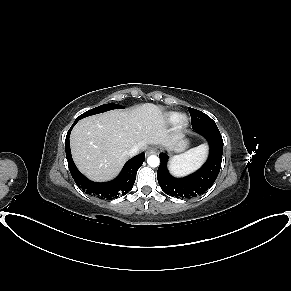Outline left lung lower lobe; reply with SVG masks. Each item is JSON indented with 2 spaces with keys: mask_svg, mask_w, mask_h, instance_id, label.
I'll use <instances>...</instances> for the list:
<instances>
[{
  "mask_svg": "<svg viewBox=\"0 0 291 291\" xmlns=\"http://www.w3.org/2000/svg\"><path fill=\"white\" fill-rule=\"evenodd\" d=\"M202 117L205 120L204 124L192 123V128L206 138L210 149L206 163L198 171L184 178H175L167 169L169 159L167 153L159 154L161 164L157 171L158 183L161 189L170 196L186 199L202 195L213 185L220 172L223 139L215 122L205 115Z\"/></svg>",
  "mask_w": 291,
  "mask_h": 291,
  "instance_id": "obj_1",
  "label": "left lung lower lobe"
}]
</instances>
